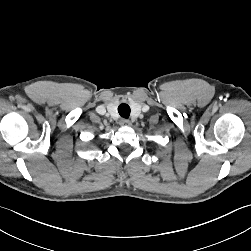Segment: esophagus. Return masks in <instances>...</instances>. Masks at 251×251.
<instances>
[{"mask_svg": "<svg viewBox=\"0 0 251 251\" xmlns=\"http://www.w3.org/2000/svg\"><path fill=\"white\" fill-rule=\"evenodd\" d=\"M119 123L121 126H130L131 125V122L127 119H121Z\"/></svg>", "mask_w": 251, "mask_h": 251, "instance_id": "esophagus-1", "label": "esophagus"}]
</instances>
